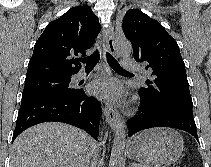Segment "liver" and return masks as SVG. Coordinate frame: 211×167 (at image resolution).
<instances>
[{
  "label": "liver",
  "instance_id": "6515ba94",
  "mask_svg": "<svg viewBox=\"0 0 211 167\" xmlns=\"http://www.w3.org/2000/svg\"><path fill=\"white\" fill-rule=\"evenodd\" d=\"M93 140L68 124L46 122L22 132L14 141L10 167H84Z\"/></svg>",
  "mask_w": 211,
  "mask_h": 167
}]
</instances>
